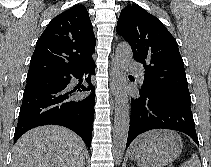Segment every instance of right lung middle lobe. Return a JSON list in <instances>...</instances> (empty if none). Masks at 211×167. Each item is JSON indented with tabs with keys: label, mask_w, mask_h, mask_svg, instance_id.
<instances>
[{
	"label": "right lung middle lobe",
	"mask_w": 211,
	"mask_h": 167,
	"mask_svg": "<svg viewBox=\"0 0 211 167\" xmlns=\"http://www.w3.org/2000/svg\"><path fill=\"white\" fill-rule=\"evenodd\" d=\"M48 86H52V83L49 80L45 78H39V79L27 81L25 90L48 87Z\"/></svg>",
	"instance_id": "dd1d6c3e"
}]
</instances>
